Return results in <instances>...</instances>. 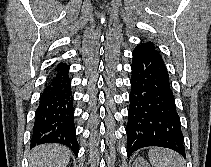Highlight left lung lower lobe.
<instances>
[{"label":"left lung lower lobe","mask_w":211,"mask_h":167,"mask_svg":"<svg viewBox=\"0 0 211 167\" xmlns=\"http://www.w3.org/2000/svg\"><path fill=\"white\" fill-rule=\"evenodd\" d=\"M131 70L128 157L148 146L169 148L185 157L180 118L164 62L153 50L137 46Z\"/></svg>","instance_id":"obj_1"}]
</instances>
